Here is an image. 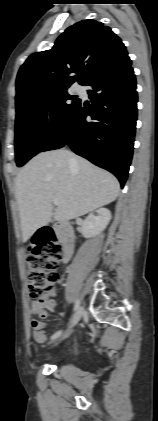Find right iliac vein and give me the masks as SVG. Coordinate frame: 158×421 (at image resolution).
Segmentation results:
<instances>
[{"instance_id": "63e3f726", "label": "right iliac vein", "mask_w": 158, "mask_h": 421, "mask_svg": "<svg viewBox=\"0 0 158 421\" xmlns=\"http://www.w3.org/2000/svg\"><path fill=\"white\" fill-rule=\"evenodd\" d=\"M82 315H83V307H79L78 309H77V311L75 312V314H74V316H73V319H72V323H71V328H73L79 321H80V319H81V317H82ZM70 334V330H68L63 336H62V338L61 339H64V338H66L68 335Z\"/></svg>"}]
</instances>
